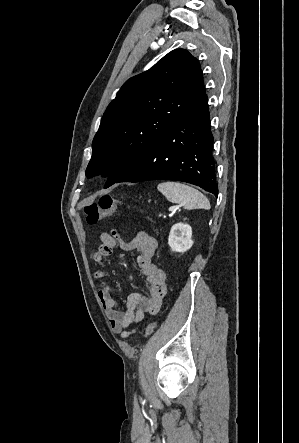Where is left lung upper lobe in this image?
<instances>
[{
  "instance_id": "left-lung-upper-lobe-1",
  "label": "left lung upper lobe",
  "mask_w": 299,
  "mask_h": 443,
  "mask_svg": "<svg viewBox=\"0 0 299 443\" xmlns=\"http://www.w3.org/2000/svg\"><path fill=\"white\" fill-rule=\"evenodd\" d=\"M204 94L200 64L184 49L130 78L101 119L86 176L101 173L105 188L113 185Z\"/></svg>"
}]
</instances>
